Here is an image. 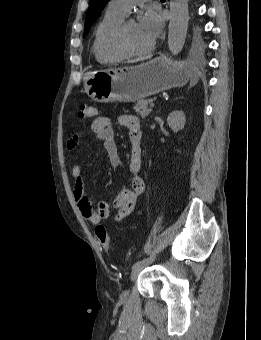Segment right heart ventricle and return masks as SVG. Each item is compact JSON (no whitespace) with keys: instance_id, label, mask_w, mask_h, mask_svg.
<instances>
[{"instance_id":"right-heart-ventricle-1","label":"right heart ventricle","mask_w":261,"mask_h":340,"mask_svg":"<svg viewBox=\"0 0 261 340\" xmlns=\"http://www.w3.org/2000/svg\"><path fill=\"white\" fill-rule=\"evenodd\" d=\"M125 17L122 13L108 7L102 19L99 21L94 32L92 43V51L99 63L111 64L125 58L112 47L114 31Z\"/></svg>"}]
</instances>
